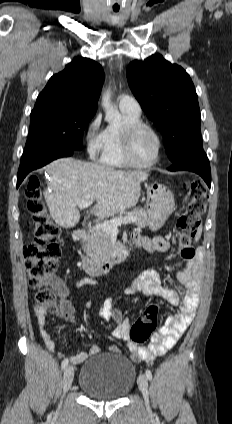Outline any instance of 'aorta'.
Instances as JSON below:
<instances>
[{
  "label": "aorta",
  "instance_id": "obj_1",
  "mask_svg": "<svg viewBox=\"0 0 232 424\" xmlns=\"http://www.w3.org/2000/svg\"><path fill=\"white\" fill-rule=\"evenodd\" d=\"M102 106L105 110V118L109 123L121 121V115L115 105L111 102V91L107 89L102 98Z\"/></svg>",
  "mask_w": 232,
  "mask_h": 424
}]
</instances>
